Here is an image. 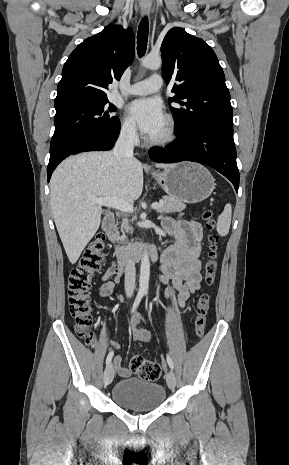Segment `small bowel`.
<instances>
[{
	"label": "small bowel",
	"mask_w": 289,
	"mask_h": 465,
	"mask_svg": "<svg viewBox=\"0 0 289 465\" xmlns=\"http://www.w3.org/2000/svg\"><path fill=\"white\" fill-rule=\"evenodd\" d=\"M163 228L177 241L160 257V280L165 285L166 297L175 298L181 306H184L192 294L202 289L199 260L202 227L195 221L168 218L163 221ZM121 277L122 269L115 262H111L101 276L99 295L104 298L110 296ZM144 320L139 313L131 320L132 336L137 342H148L152 336L151 332L140 327L141 321ZM113 364L120 376H130L131 372L122 365L120 355L114 356Z\"/></svg>",
	"instance_id": "c3829d8e"
}]
</instances>
